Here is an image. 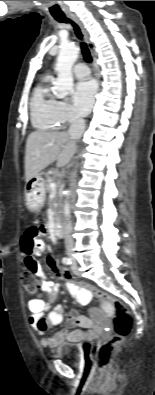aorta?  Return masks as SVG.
Wrapping results in <instances>:
<instances>
[{
    "label": "aorta",
    "instance_id": "obj_1",
    "mask_svg": "<svg viewBox=\"0 0 155 395\" xmlns=\"http://www.w3.org/2000/svg\"><path fill=\"white\" fill-rule=\"evenodd\" d=\"M79 54V48L70 43L62 44L57 57L55 70L57 72V79L54 83L53 93L57 98H64L73 91V74L72 67L76 62ZM70 191L65 193V201L63 206V213L65 219H68L71 212Z\"/></svg>",
    "mask_w": 155,
    "mask_h": 395
}]
</instances>
